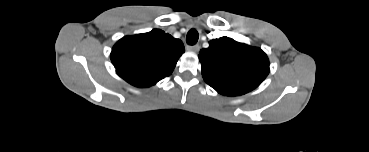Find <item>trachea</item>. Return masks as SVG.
I'll use <instances>...</instances> for the list:
<instances>
[{"label": "trachea", "mask_w": 369, "mask_h": 152, "mask_svg": "<svg viewBox=\"0 0 369 152\" xmlns=\"http://www.w3.org/2000/svg\"><path fill=\"white\" fill-rule=\"evenodd\" d=\"M199 38V34L197 32L196 29H191L189 30L187 37H186V42L188 45H195L198 41Z\"/></svg>", "instance_id": "obj_1"}]
</instances>
